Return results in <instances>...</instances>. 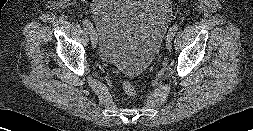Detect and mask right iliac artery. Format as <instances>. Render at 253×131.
<instances>
[{
    "mask_svg": "<svg viewBox=\"0 0 253 131\" xmlns=\"http://www.w3.org/2000/svg\"><path fill=\"white\" fill-rule=\"evenodd\" d=\"M82 24L86 27L87 30H90L92 25L88 19H83Z\"/></svg>",
    "mask_w": 253,
    "mask_h": 131,
    "instance_id": "obj_1",
    "label": "right iliac artery"
}]
</instances>
